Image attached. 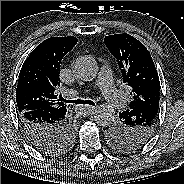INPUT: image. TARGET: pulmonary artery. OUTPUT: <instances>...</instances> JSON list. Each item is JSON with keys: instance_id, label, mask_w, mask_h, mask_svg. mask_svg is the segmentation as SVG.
<instances>
[{"instance_id": "e3ab8cb5", "label": "pulmonary artery", "mask_w": 184, "mask_h": 184, "mask_svg": "<svg viewBox=\"0 0 184 184\" xmlns=\"http://www.w3.org/2000/svg\"><path fill=\"white\" fill-rule=\"evenodd\" d=\"M100 89L108 101L109 105L115 109H123L127 105V100L123 92L116 89L113 83L112 71L109 66H103L98 76ZM69 96L77 95V91H68Z\"/></svg>"}]
</instances>
